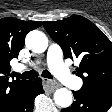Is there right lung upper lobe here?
Segmentation results:
<instances>
[{"label": "right lung upper lobe", "instance_id": "right-lung-upper-lobe-1", "mask_svg": "<svg viewBox=\"0 0 112 112\" xmlns=\"http://www.w3.org/2000/svg\"><path fill=\"white\" fill-rule=\"evenodd\" d=\"M42 22L15 18L0 19V112H6L15 101L26 80H10L9 62L17 58L24 46L26 34Z\"/></svg>", "mask_w": 112, "mask_h": 112}]
</instances>
